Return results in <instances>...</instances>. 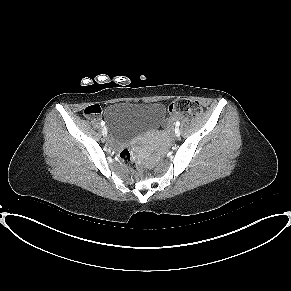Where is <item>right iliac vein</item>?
Segmentation results:
<instances>
[{"label":"right iliac vein","mask_w":291,"mask_h":291,"mask_svg":"<svg viewBox=\"0 0 291 291\" xmlns=\"http://www.w3.org/2000/svg\"><path fill=\"white\" fill-rule=\"evenodd\" d=\"M102 135L103 136H106L107 135V128L106 127H103V129H102Z\"/></svg>","instance_id":"obj_1"}]
</instances>
